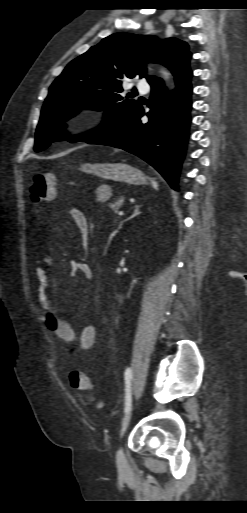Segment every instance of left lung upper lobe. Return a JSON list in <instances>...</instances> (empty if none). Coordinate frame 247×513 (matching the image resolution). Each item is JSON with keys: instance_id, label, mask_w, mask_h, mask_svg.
Returning a JSON list of instances; mask_svg holds the SVG:
<instances>
[{"instance_id": "left-lung-upper-lobe-1", "label": "left lung upper lobe", "mask_w": 247, "mask_h": 513, "mask_svg": "<svg viewBox=\"0 0 247 513\" xmlns=\"http://www.w3.org/2000/svg\"><path fill=\"white\" fill-rule=\"evenodd\" d=\"M191 58L186 42L176 38L157 41L149 35L115 33L71 61L49 89L36 129L34 150L39 152L57 140L63 124L78 108L105 110L102 126L86 134L67 138L87 142L110 130L139 104L123 95L122 82L136 75L152 86L160 81L145 75V62L154 61L172 73ZM127 97H131L127 95Z\"/></svg>"}]
</instances>
